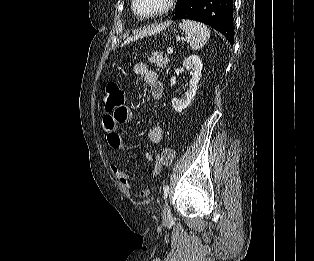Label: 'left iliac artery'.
<instances>
[{
    "mask_svg": "<svg viewBox=\"0 0 314 261\" xmlns=\"http://www.w3.org/2000/svg\"><path fill=\"white\" fill-rule=\"evenodd\" d=\"M168 192H169V186H168V185H166V186L164 187V199H166V198H167V196H168Z\"/></svg>",
    "mask_w": 314,
    "mask_h": 261,
    "instance_id": "1",
    "label": "left iliac artery"
}]
</instances>
